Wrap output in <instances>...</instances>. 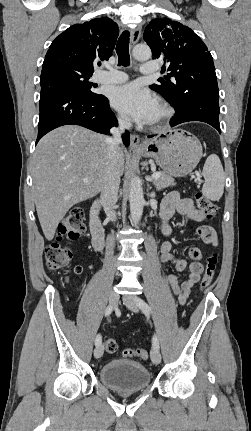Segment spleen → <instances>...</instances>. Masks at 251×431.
Segmentation results:
<instances>
[{"label":"spleen","mask_w":251,"mask_h":431,"mask_svg":"<svg viewBox=\"0 0 251 431\" xmlns=\"http://www.w3.org/2000/svg\"><path fill=\"white\" fill-rule=\"evenodd\" d=\"M202 174L205 179L202 187L203 195L212 201H218L223 195L225 176L221 161L216 154L208 156Z\"/></svg>","instance_id":"spleen-1"}]
</instances>
